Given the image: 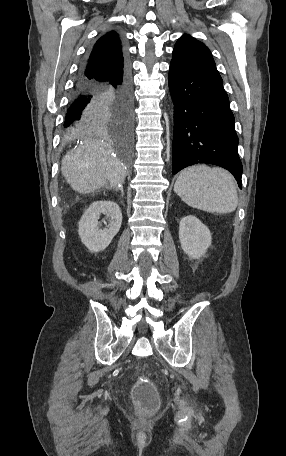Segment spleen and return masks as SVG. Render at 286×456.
Wrapping results in <instances>:
<instances>
[{"label": "spleen", "instance_id": "obj_1", "mask_svg": "<svg viewBox=\"0 0 286 456\" xmlns=\"http://www.w3.org/2000/svg\"><path fill=\"white\" fill-rule=\"evenodd\" d=\"M174 191L188 206L209 213H231L238 205L236 182L219 167L197 165L184 169Z\"/></svg>", "mask_w": 286, "mask_h": 456}]
</instances>
